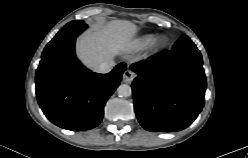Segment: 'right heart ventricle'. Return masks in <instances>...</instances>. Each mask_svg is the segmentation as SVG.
<instances>
[{
  "label": "right heart ventricle",
  "mask_w": 248,
  "mask_h": 158,
  "mask_svg": "<svg viewBox=\"0 0 248 158\" xmlns=\"http://www.w3.org/2000/svg\"><path fill=\"white\" fill-rule=\"evenodd\" d=\"M154 39L155 37L152 35L143 36L136 40L134 47L137 49H145L153 43Z\"/></svg>",
  "instance_id": "right-heart-ventricle-1"
}]
</instances>
